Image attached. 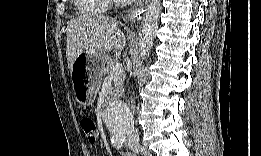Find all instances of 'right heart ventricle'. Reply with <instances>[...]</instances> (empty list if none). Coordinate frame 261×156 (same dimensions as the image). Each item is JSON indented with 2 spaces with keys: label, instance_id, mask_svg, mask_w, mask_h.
<instances>
[{
  "label": "right heart ventricle",
  "instance_id": "obj_1",
  "mask_svg": "<svg viewBox=\"0 0 261 156\" xmlns=\"http://www.w3.org/2000/svg\"><path fill=\"white\" fill-rule=\"evenodd\" d=\"M75 3L85 11L99 10L103 5V2L98 0H77Z\"/></svg>",
  "mask_w": 261,
  "mask_h": 156
}]
</instances>
